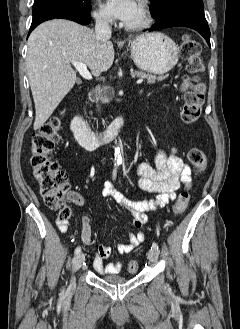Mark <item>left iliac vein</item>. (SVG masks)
Returning <instances> with one entry per match:
<instances>
[{
	"instance_id": "1",
	"label": "left iliac vein",
	"mask_w": 240,
	"mask_h": 329,
	"mask_svg": "<svg viewBox=\"0 0 240 329\" xmlns=\"http://www.w3.org/2000/svg\"><path fill=\"white\" fill-rule=\"evenodd\" d=\"M158 257H159V251L151 249L148 252V259L149 261H151L152 263H156L158 261Z\"/></svg>"
}]
</instances>
